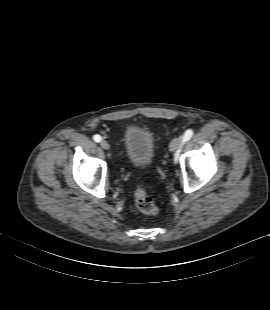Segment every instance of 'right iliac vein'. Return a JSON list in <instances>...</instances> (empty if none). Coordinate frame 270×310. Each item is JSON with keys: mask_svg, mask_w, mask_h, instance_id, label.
<instances>
[{"mask_svg": "<svg viewBox=\"0 0 270 310\" xmlns=\"http://www.w3.org/2000/svg\"><path fill=\"white\" fill-rule=\"evenodd\" d=\"M100 146L105 150H108L110 148V145L108 144V142L104 140L101 141Z\"/></svg>", "mask_w": 270, "mask_h": 310, "instance_id": "right-iliac-vein-1", "label": "right iliac vein"}]
</instances>
